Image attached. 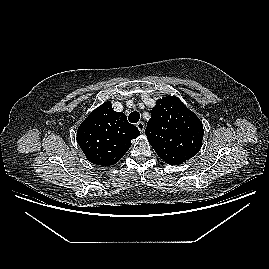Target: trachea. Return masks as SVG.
I'll use <instances>...</instances> for the list:
<instances>
[{"mask_svg":"<svg viewBox=\"0 0 269 269\" xmlns=\"http://www.w3.org/2000/svg\"><path fill=\"white\" fill-rule=\"evenodd\" d=\"M140 119V114L136 111L132 112L129 114L128 116V120L131 122V123H137Z\"/></svg>","mask_w":269,"mask_h":269,"instance_id":"obj_1","label":"trachea"}]
</instances>
